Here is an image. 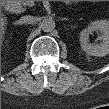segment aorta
Here are the masks:
<instances>
[{"label":"aorta","instance_id":"obj_1","mask_svg":"<svg viewBox=\"0 0 109 109\" xmlns=\"http://www.w3.org/2000/svg\"><path fill=\"white\" fill-rule=\"evenodd\" d=\"M55 21L52 18H45L41 23L40 27L44 32H51L55 29Z\"/></svg>","mask_w":109,"mask_h":109}]
</instances>
